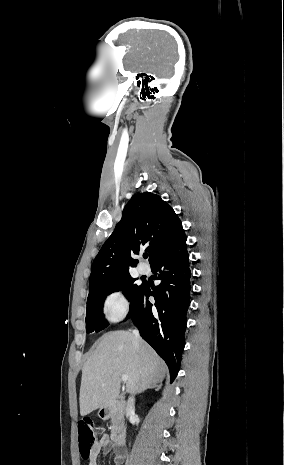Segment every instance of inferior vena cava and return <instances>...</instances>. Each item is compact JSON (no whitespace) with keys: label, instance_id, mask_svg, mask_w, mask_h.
<instances>
[{"label":"inferior vena cava","instance_id":"obj_1","mask_svg":"<svg viewBox=\"0 0 284 465\" xmlns=\"http://www.w3.org/2000/svg\"><path fill=\"white\" fill-rule=\"evenodd\" d=\"M134 337H139L138 331H133ZM135 411V401L133 397H130L127 401V407H126V417H130V415H133Z\"/></svg>","mask_w":284,"mask_h":465}]
</instances>
